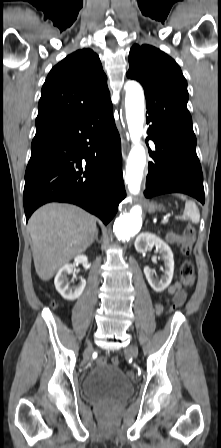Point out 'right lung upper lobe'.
Returning a JSON list of instances; mask_svg holds the SVG:
<instances>
[{
    "mask_svg": "<svg viewBox=\"0 0 221 448\" xmlns=\"http://www.w3.org/2000/svg\"><path fill=\"white\" fill-rule=\"evenodd\" d=\"M110 100L100 59L91 49L68 55L49 72L42 87L36 135Z\"/></svg>",
    "mask_w": 221,
    "mask_h": 448,
    "instance_id": "1",
    "label": "right lung upper lobe"
}]
</instances>
